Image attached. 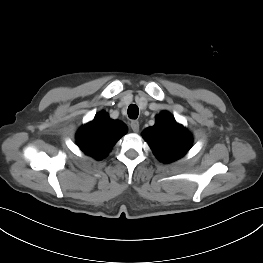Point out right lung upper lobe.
<instances>
[{
	"label": "right lung upper lobe",
	"instance_id": "right-lung-upper-lobe-1",
	"mask_svg": "<svg viewBox=\"0 0 263 263\" xmlns=\"http://www.w3.org/2000/svg\"><path fill=\"white\" fill-rule=\"evenodd\" d=\"M126 130L123 122L112 120L106 112L101 111L93 121L79 129L77 144L84 153L101 160Z\"/></svg>",
	"mask_w": 263,
	"mask_h": 263
}]
</instances>
